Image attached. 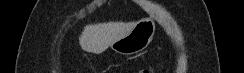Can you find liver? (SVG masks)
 I'll use <instances>...</instances> for the list:
<instances>
[{
  "instance_id": "obj_1",
  "label": "liver",
  "mask_w": 244,
  "mask_h": 73,
  "mask_svg": "<svg viewBox=\"0 0 244 73\" xmlns=\"http://www.w3.org/2000/svg\"><path fill=\"white\" fill-rule=\"evenodd\" d=\"M135 22L99 23L84 27L79 37L82 50L101 54L116 40L127 35L134 27Z\"/></svg>"
}]
</instances>
